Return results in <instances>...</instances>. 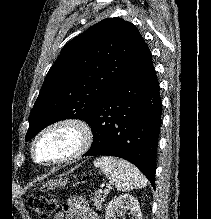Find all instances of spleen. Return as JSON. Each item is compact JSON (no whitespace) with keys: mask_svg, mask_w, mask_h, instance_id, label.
Masks as SVG:
<instances>
[{"mask_svg":"<svg viewBox=\"0 0 211 219\" xmlns=\"http://www.w3.org/2000/svg\"><path fill=\"white\" fill-rule=\"evenodd\" d=\"M94 166L100 168L119 191H130L147 185L143 174L125 160L102 157L94 161Z\"/></svg>","mask_w":211,"mask_h":219,"instance_id":"1","label":"spleen"}]
</instances>
